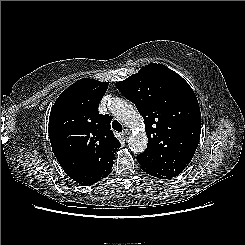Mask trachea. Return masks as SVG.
I'll return each mask as SVG.
<instances>
[{"label": "trachea", "mask_w": 245, "mask_h": 245, "mask_svg": "<svg viewBox=\"0 0 245 245\" xmlns=\"http://www.w3.org/2000/svg\"><path fill=\"white\" fill-rule=\"evenodd\" d=\"M112 127H113L114 130H116V131H118V132H121L122 129H123L121 123L118 122L117 120H114V121L112 122Z\"/></svg>", "instance_id": "1"}]
</instances>
